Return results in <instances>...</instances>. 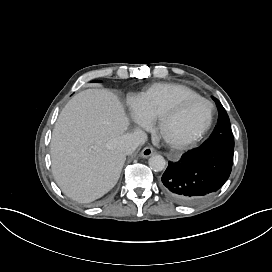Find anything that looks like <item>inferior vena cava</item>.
I'll return each mask as SVG.
<instances>
[{
	"mask_svg": "<svg viewBox=\"0 0 272 272\" xmlns=\"http://www.w3.org/2000/svg\"><path fill=\"white\" fill-rule=\"evenodd\" d=\"M147 134L142 130H136L131 134L121 136L117 140V148L126 155L132 152L139 146L145 143Z\"/></svg>",
	"mask_w": 272,
	"mask_h": 272,
	"instance_id": "602c4592",
	"label": "inferior vena cava"
}]
</instances>
